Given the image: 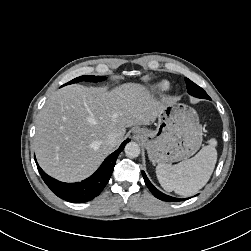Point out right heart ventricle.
Listing matches in <instances>:
<instances>
[{
	"label": "right heart ventricle",
	"mask_w": 251,
	"mask_h": 251,
	"mask_svg": "<svg viewBox=\"0 0 251 251\" xmlns=\"http://www.w3.org/2000/svg\"><path fill=\"white\" fill-rule=\"evenodd\" d=\"M154 88L160 92L166 91L169 89V83L167 81H161L157 83Z\"/></svg>",
	"instance_id": "obj_1"
}]
</instances>
